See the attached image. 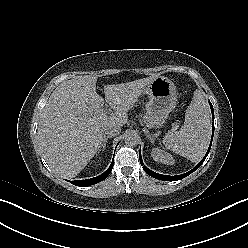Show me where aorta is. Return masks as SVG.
Listing matches in <instances>:
<instances>
[{"instance_id": "obj_1", "label": "aorta", "mask_w": 248, "mask_h": 248, "mask_svg": "<svg viewBox=\"0 0 248 248\" xmlns=\"http://www.w3.org/2000/svg\"><path fill=\"white\" fill-rule=\"evenodd\" d=\"M124 140L127 145L135 146L139 143L140 137L136 132L131 131L125 135Z\"/></svg>"}]
</instances>
